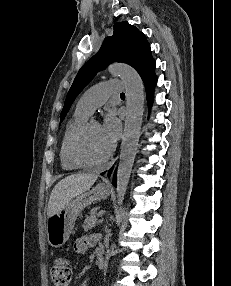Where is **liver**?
I'll return each mask as SVG.
<instances>
[{
	"label": "liver",
	"instance_id": "6515ba94",
	"mask_svg": "<svg viewBox=\"0 0 231 286\" xmlns=\"http://www.w3.org/2000/svg\"><path fill=\"white\" fill-rule=\"evenodd\" d=\"M94 174H74L59 181L53 188L47 207V216L59 212L73 198L89 190L97 180Z\"/></svg>",
	"mask_w": 231,
	"mask_h": 286
}]
</instances>
